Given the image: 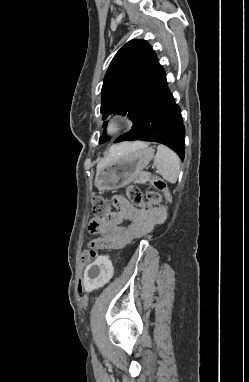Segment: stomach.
<instances>
[{
  "label": "stomach",
  "mask_w": 249,
  "mask_h": 382,
  "mask_svg": "<svg viewBox=\"0 0 249 382\" xmlns=\"http://www.w3.org/2000/svg\"><path fill=\"white\" fill-rule=\"evenodd\" d=\"M154 148L144 147L115 157L97 170L94 185L99 190H113L134 181L154 157Z\"/></svg>",
  "instance_id": "obj_1"
}]
</instances>
